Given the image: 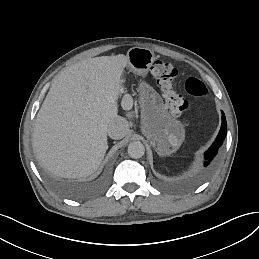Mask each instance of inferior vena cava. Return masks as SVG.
Returning <instances> with one entry per match:
<instances>
[{
    "mask_svg": "<svg viewBox=\"0 0 259 259\" xmlns=\"http://www.w3.org/2000/svg\"><path fill=\"white\" fill-rule=\"evenodd\" d=\"M128 129V121L118 116L108 125L107 133L112 139H122L127 134Z\"/></svg>",
    "mask_w": 259,
    "mask_h": 259,
    "instance_id": "602c4592",
    "label": "inferior vena cava"
}]
</instances>
